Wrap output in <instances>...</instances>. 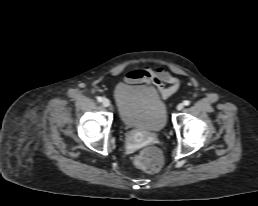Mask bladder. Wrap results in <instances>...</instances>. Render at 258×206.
I'll return each mask as SVG.
<instances>
[{
	"label": "bladder",
	"instance_id": "bladder-1",
	"mask_svg": "<svg viewBox=\"0 0 258 206\" xmlns=\"http://www.w3.org/2000/svg\"><path fill=\"white\" fill-rule=\"evenodd\" d=\"M114 98L125 126L148 132H158L165 127L166 104L154 88L119 83L115 87Z\"/></svg>",
	"mask_w": 258,
	"mask_h": 206
}]
</instances>
